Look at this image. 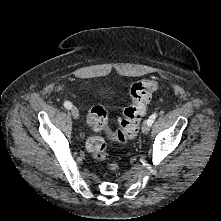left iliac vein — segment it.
I'll list each match as a JSON object with an SVG mask.
<instances>
[{"label":"left iliac vein","mask_w":221,"mask_h":221,"mask_svg":"<svg viewBox=\"0 0 221 221\" xmlns=\"http://www.w3.org/2000/svg\"><path fill=\"white\" fill-rule=\"evenodd\" d=\"M149 130H150V124L148 123V120H147L142 125V132L144 134H147L149 132Z\"/></svg>","instance_id":"1"}]
</instances>
